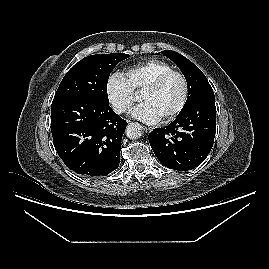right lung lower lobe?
<instances>
[{"label": "right lung lower lobe", "mask_w": 269, "mask_h": 269, "mask_svg": "<svg viewBox=\"0 0 269 269\" xmlns=\"http://www.w3.org/2000/svg\"><path fill=\"white\" fill-rule=\"evenodd\" d=\"M127 122L109 104L85 97L55 98L51 131L65 165L84 177L106 176L120 163Z\"/></svg>", "instance_id": "1"}]
</instances>
